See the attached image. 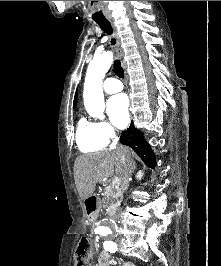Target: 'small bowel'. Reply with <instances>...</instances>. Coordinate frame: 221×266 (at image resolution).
I'll list each match as a JSON object with an SVG mask.
<instances>
[{"label": "small bowel", "mask_w": 221, "mask_h": 266, "mask_svg": "<svg viewBox=\"0 0 221 266\" xmlns=\"http://www.w3.org/2000/svg\"><path fill=\"white\" fill-rule=\"evenodd\" d=\"M116 262L113 260L112 256L108 252H102L97 259L96 266H114ZM122 266H135L131 262H125Z\"/></svg>", "instance_id": "small-bowel-1"}]
</instances>
